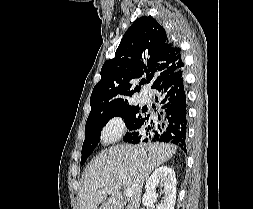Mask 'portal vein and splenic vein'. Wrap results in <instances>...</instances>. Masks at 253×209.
Here are the masks:
<instances>
[{
  "label": "portal vein and splenic vein",
  "instance_id": "obj_1",
  "mask_svg": "<svg viewBox=\"0 0 253 209\" xmlns=\"http://www.w3.org/2000/svg\"><path fill=\"white\" fill-rule=\"evenodd\" d=\"M105 192L110 193V189L106 188ZM132 194H133V192H132L131 189H126V190H125V196H126L127 198H131V197H132Z\"/></svg>",
  "mask_w": 253,
  "mask_h": 209
}]
</instances>
